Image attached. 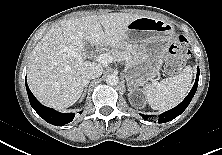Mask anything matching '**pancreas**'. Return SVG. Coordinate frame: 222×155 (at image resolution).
Listing matches in <instances>:
<instances>
[{
	"instance_id": "1",
	"label": "pancreas",
	"mask_w": 222,
	"mask_h": 155,
	"mask_svg": "<svg viewBox=\"0 0 222 155\" xmlns=\"http://www.w3.org/2000/svg\"><path fill=\"white\" fill-rule=\"evenodd\" d=\"M121 50H112L111 55L115 60H124L126 63H130L133 60L132 54L136 47L133 45H125L121 47Z\"/></svg>"
}]
</instances>
